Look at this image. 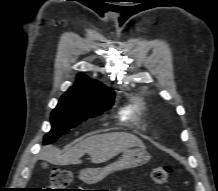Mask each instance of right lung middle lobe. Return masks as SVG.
<instances>
[{
	"label": "right lung middle lobe",
	"mask_w": 218,
	"mask_h": 191,
	"mask_svg": "<svg viewBox=\"0 0 218 191\" xmlns=\"http://www.w3.org/2000/svg\"><path fill=\"white\" fill-rule=\"evenodd\" d=\"M113 99H91L72 97L64 94L51 113V131L44 137V143L54 142L60 135L67 133L89 117L100 115L109 109Z\"/></svg>",
	"instance_id": "obj_1"
}]
</instances>
